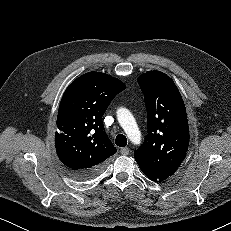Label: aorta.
Here are the masks:
<instances>
[{
	"mask_svg": "<svg viewBox=\"0 0 231 231\" xmlns=\"http://www.w3.org/2000/svg\"><path fill=\"white\" fill-rule=\"evenodd\" d=\"M117 119L128 138L134 144L140 142L141 132L132 113L126 108H120L117 111Z\"/></svg>",
	"mask_w": 231,
	"mask_h": 231,
	"instance_id": "762f6f07",
	"label": "aorta"
}]
</instances>
